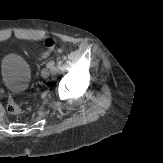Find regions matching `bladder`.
<instances>
[{
    "label": "bladder",
    "mask_w": 163,
    "mask_h": 163,
    "mask_svg": "<svg viewBox=\"0 0 163 163\" xmlns=\"http://www.w3.org/2000/svg\"><path fill=\"white\" fill-rule=\"evenodd\" d=\"M31 80V68L18 54H7L0 61V81L4 88L15 94L27 90Z\"/></svg>",
    "instance_id": "31cf9c89"
}]
</instances>
